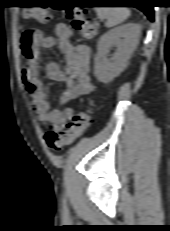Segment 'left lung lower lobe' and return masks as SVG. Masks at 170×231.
<instances>
[{
  "mask_svg": "<svg viewBox=\"0 0 170 231\" xmlns=\"http://www.w3.org/2000/svg\"><path fill=\"white\" fill-rule=\"evenodd\" d=\"M129 3L135 4L133 7L139 8L143 11L150 21H153V6L151 4V0H131Z\"/></svg>",
  "mask_w": 170,
  "mask_h": 231,
  "instance_id": "left-lung-lower-lobe-1",
  "label": "left lung lower lobe"
}]
</instances>
